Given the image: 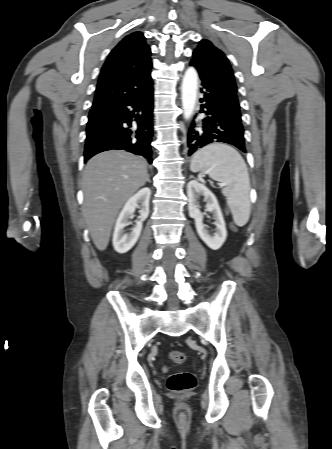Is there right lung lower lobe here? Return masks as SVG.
Listing matches in <instances>:
<instances>
[{
  "mask_svg": "<svg viewBox=\"0 0 332 449\" xmlns=\"http://www.w3.org/2000/svg\"><path fill=\"white\" fill-rule=\"evenodd\" d=\"M153 87L144 95L92 107L84 161L107 150H126L152 163Z\"/></svg>",
  "mask_w": 332,
  "mask_h": 449,
  "instance_id": "98d812e1",
  "label": "right lung lower lobe"
}]
</instances>
